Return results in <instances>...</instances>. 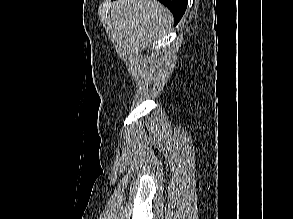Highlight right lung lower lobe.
Masks as SVG:
<instances>
[{
	"mask_svg": "<svg viewBox=\"0 0 293 219\" xmlns=\"http://www.w3.org/2000/svg\"><path fill=\"white\" fill-rule=\"evenodd\" d=\"M163 3L172 13L174 16V24L176 25L179 20L182 18L188 0H159Z\"/></svg>",
	"mask_w": 293,
	"mask_h": 219,
	"instance_id": "obj_1",
	"label": "right lung lower lobe"
}]
</instances>
